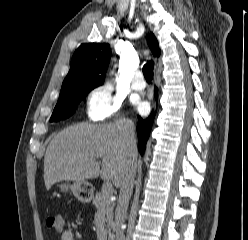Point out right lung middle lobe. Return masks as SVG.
<instances>
[{"label": "right lung middle lobe", "instance_id": "1", "mask_svg": "<svg viewBox=\"0 0 248 240\" xmlns=\"http://www.w3.org/2000/svg\"><path fill=\"white\" fill-rule=\"evenodd\" d=\"M92 89L93 88L72 87L62 90L50 118V122L60 121L70 117L75 112L80 101Z\"/></svg>", "mask_w": 248, "mask_h": 240}]
</instances>
